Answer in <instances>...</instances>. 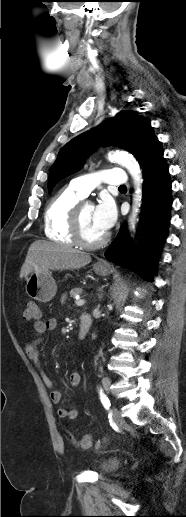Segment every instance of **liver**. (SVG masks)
I'll list each match as a JSON object with an SVG mask.
<instances>
[{"mask_svg":"<svg viewBox=\"0 0 186 517\" xmlns=\"http://www.w3.org/2000/svg\"><path fill=\"white\" fill-rule=\"evenodd\" d=\"M91 262V256L72 247L46 241H35L29 247L20 278L49 270L80 269Z\"/></svg>","mask_w":186,"mask_h":517,"instance_id":"obj_1","label":"liver"}]
</instances>
